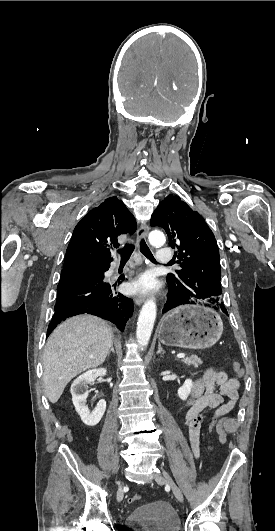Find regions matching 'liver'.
Here are the masks:
<instances>
[{
  "instance_id": "obj_1",
  "label": "liver",
  "mask_w": 275,
  "mask_h": 531,
  "mask_svg": "<svg viewBox=\"0 0 275 531\" xmlns=\"http://www.w3.org/2000/svg\"><path fill=\"white\" fill-rule=\"evenodd\" d=\"M112 329L92 315H77L51 333L43 355V381L50 403L59 401L71 379L104 363Z\"/></svg>"
}]
</instances>
